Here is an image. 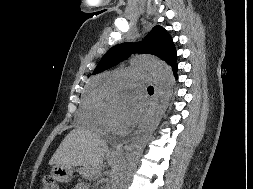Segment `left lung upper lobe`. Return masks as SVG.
Wrapping results in <instances>:
<instances>
[{"label": "left lung upper lobe", "instance_id": "1", "mask_svg": "<svg viewBox=\"0 0 253 189\" xmlns=\"http://www.w3.org/2000/svg\"><path fill=\"white\" fill-rule=\"evenodd\" d=\"M135 51L156 55L172 67L176 65V50L171 37L164 28L155 26L145 36L140 48L135 47L132 43H123L112 47L102 57L93 74L118 64Z\"/></svg>", "mask_w": 253, "mask_h": 189}]
</instances>
